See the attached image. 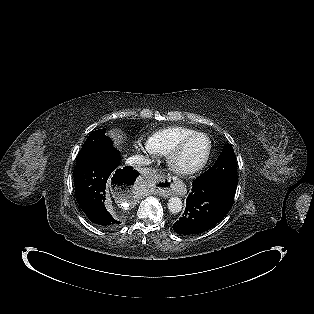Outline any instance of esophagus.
<instances>
[{
  "mask_svg": "<svg viewBox=\"0 0 314 314\" xmlns=\"http://www.w3.org/2000/svg\"><path fill=\"white\" fill-rule=\"evenodd\" d=\"M156 177V174H155ZM158 179V176L156 177ZM155 178V179H156ZM159 181L161 183H168L167 186L156 189L155 193L163 196V197H168L172 193H176L177 195H184L186 192V189L183 187L182 182L177 179L176 177H171V176H161L159 177ZM162 178V179H161Z\"/></svg>",
  "mask_w": 314,
  "mask_h": 314,
  "instance_id": "esophagus-1",
  "label": "esophagus"
}]
</instances>
